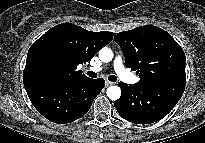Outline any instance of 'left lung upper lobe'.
I'll return each instance as SVG.
<instances>
[{
    "mask_svg": "<svg viewBox=\"0 0 205 143\" xmlns=\"http://www.w3.org/2000/svg\"><path fill=\"white\" fill-rule=\"evenodd\" d=\"M114 40L122 48L126 67L139 74L137 85L186 80L185 53L165 30L145 25L117 33Z\"/></svg>",
    "mask_w": 205,
    "mask_h": 143,
    "instance_id": "obj_1",
    "label": "left lung upper lobe"
}]
</instances>
